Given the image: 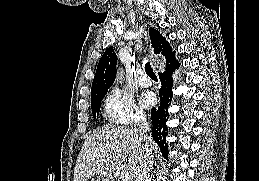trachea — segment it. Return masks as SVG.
Listing matches in <instances>:
<instances>
[{
  "instance_id": "3493384b",
  "label": "trachea",
  "mask_w": 259,
  "mask_h": 181,
  "mask_svg": "<svg viewBox=\"0 0 259 181\" xmlns=\"http://www.w3.org/2000/svg\"><path fill=\"white\" fill-rule=\"evenodd\" d=\"M145 71H146V74L151 77V78H157L155 72L153 71V68L151 67L150 63L147 62L145 64Z\"/></svg>"
}]
</instances>
